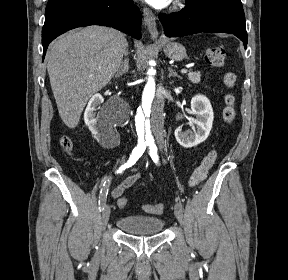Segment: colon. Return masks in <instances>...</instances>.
I'll list each match as a JSON object with an SVG mask.
<instances>
[{
    "instance_id": "5ec220e1",
    "label": "colon",
    "mask_w": 288,
    "mask_h": 280,
    "mask_svg": "<svg viewBox=\"0 0 288 280\" xmlns=\"http://www.w3.org/2000/svg\"><path fill=\"white\" fill-rule=\"evenodd\" d=\"M205 60L212 66L221 68L225 64V50L221 46H210L205 50ZM224 85L227 88H233L236 83V75L233 72H227L223 76ZM223 119L225 123L231 124L236 118V108H235V98L233 95L229 94L225 98V107L222 112ZM60 145L64 151L70 153L73 148L71 139L68 136H62L60 139ZM217 159V153L215 151H210L202 160L200 165L196 167L189 179V185L194 187L203 182L208 176L209 170L213 167ZM119 205L123 208L127 205V199L122 198ZM143 209L151 214L159 215L164 210V205L159 204H145Z\"/></svg>"
}]
</instances>
